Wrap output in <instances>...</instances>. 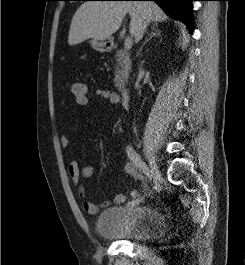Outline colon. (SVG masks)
<instances>
[{"label": "colon", "mask_w": 245, "mask_h": 265, "mask_svg": "<svg viewBox=\"0 0 245 265\" xmlns=\"http://www.w3.org/2000/svg\"><path fill=\"white\" fill-rule=\"evenodd\" d=\"M74 101L79 106H86L89 102L87 86L82 82H73L70 87Z\"/></svg>", "instance_id": "obj_1"}]
</instances>
